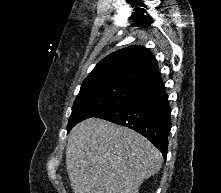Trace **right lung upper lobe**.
I'll return each mask as SVG.
<instances>
[{
	"instance_id": "right-lung-upper-lobe-1",
	"label": "right lung upper lobe",
	"mask_w": 221,
	"mask_h": 193,
	"mask_svg": "<svg viewBox=\"0 0 221 193\" xmlns=\"http://www.w3.org/2000/svg\"><path fill=\"white\" fill-rule=\"evenodd\" d=\"M161 79L154 55L143 46H130L102 59L83 81L81 89L113 83L146 86Z\"/></svg>"
}]
</instances>
